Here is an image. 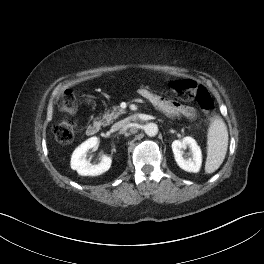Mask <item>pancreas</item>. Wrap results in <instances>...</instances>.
I'll list each match as a JSON object with an SVG mask.
<instances>
[{
  "instance_id": "1",
  "label": "pancreas",
  "mask_w": 264,
  "mask_h": 264,
  "mask_svg": "<svg viewBox=\"0 0 264 264\" xmlns=\"http://www.w3.org/2000/svg\"><path fill=\"white\" fill-rule=\"evenodd\" d=\"M125 111L121 109L119 106H114L113 110L107 111L102 117V125L107 126L113 122V120L117 119L120 115L124 114Z\"/></svg>"
}]
</instances>
